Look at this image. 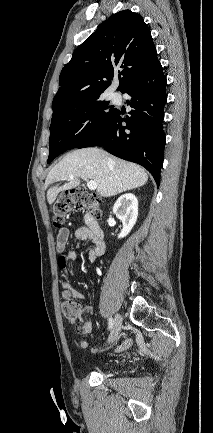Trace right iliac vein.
<instances>
[{"mask_svg":"<svg viewBox=\"0 0 213 433\" xmlns=\"http://www.w3.org/2000/svg\"><path fill=\"white\" fill-rule=\"evenodd\" d=\"M121 328H122V316L120 314H116L115 319H114V325L112 328V332H111V335L109 338V342L112 343L117 339V337L121 331Z\"/></svg>","mask_w":213,"mask_h":433,"instance_id":"1","label":"right iliac vein"}]
</instances>
